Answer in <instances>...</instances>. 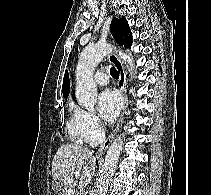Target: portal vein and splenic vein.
<instances>
[{
	"mask_svg": "<svg viewBox=\"0 0 211 195\" xmlns=\"http://www.w3.org/2000/svg\"><path fill=\"white\" fill-rule=\"evenodd\" d=\"M74 176L77 178L80 176V173L79 172H75Z\"/></svg>",
	"mask_w": 211,
	"mask_h": 195,
	"instance_id": "1",
	"label": "portal vein and splenic vein"
}]
</instances>
